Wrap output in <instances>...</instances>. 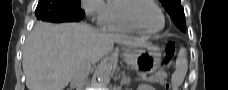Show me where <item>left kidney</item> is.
<instances>
[{
	"mask_svg": "<svg viewBox=\"0 0 228 90\" xmlns=\"http://www.w3.org/2000/svg\"><path fill=\"white\" fill-rule=\"evenodd\" d=\"M139 90H155L152 86L142 84L139 86Z\"/></svg>",
	"mask_w": 228,
	"mask_h": 90,
	"instance_id": "left-kidney-1",
	"label": "left kidney"
}]
</instances>
